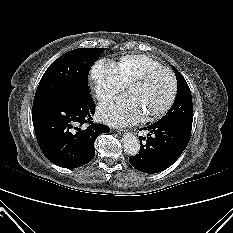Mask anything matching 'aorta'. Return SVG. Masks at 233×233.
<instances>
[{
  "label": "aorta",
  "mask_w": 233,
  "mask_h": 233,
  "mask_svg": "<svg viewBox=\"0 0 233 233\" xmlns=\"http://www.w3.org/2000/svg\"><path fill=\"white\" fill-rule=\"evenodd\" d=\"M123 147L128 155L135 156L140 150L139 139L135 135L127 133L123 136Z\"/></svg>",
  "instance_id": "762f6f07"
}]
</instances>
